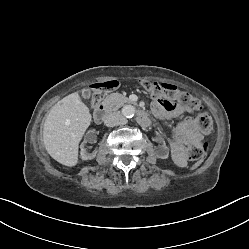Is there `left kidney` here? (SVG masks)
Returning a JSON list of instances; mask_svg holds the SVG:
<instances>
[{"label":"left kidney","instance_id":"obj_1","mask_svg":"<svg viewBox=\"0 0 249 249\" xmlns=\"http://www.w3.org/2000/svg\"><path fill=\"white\" fill-rule=\"evenodd\" d=\"M160 158H162V159H165V158H167L168 157V155H165V156H159Z\"/></svg>","mask_w":249,"mask_h":249}]
</instances>
